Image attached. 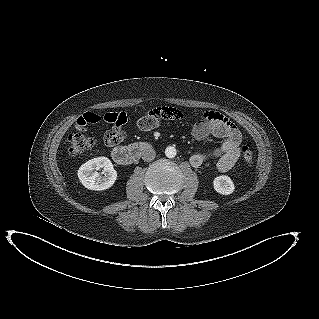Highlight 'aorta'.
Masks as SVG:
<instances>
[{
    "label": "aorta",
    "mask_w": 319,
    "mask_h": 319,
    "mask_svg": "<svg viewBox=\"0 0 319 319\" xmlns=\"http://www.w3.org/2000/svg\"><path fill=\"white\" fill-rule=\"evenodd\" d=\"M176 154H177V151H176L175 147H173V146H168L165 149V155L168 158H174L176 156Z\"/></svg>",
    "instance_id": "1"
}]
</instances>
